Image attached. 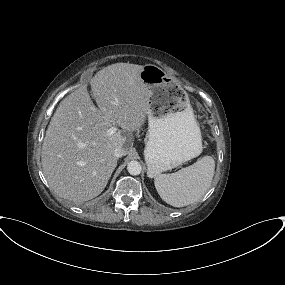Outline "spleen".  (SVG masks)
<instances>
[{
	"label": "spleen",
	"instance_id": "3e777b00",
	"mask_svg": "<svg viewBox=\"0 0 285 285\" xmlns=\"http://www.w3.org/2000/svg\"><path fill=\"white\" fill-rule=\"evenodd\" d=\"M215 161L204 156L194 164L171 174L155 177V188L161 199L174 207H184L199 201L211 186Z\"/></svg>",
	"mask_w": 285,
	"mask_h": 285
}]
</instances>
